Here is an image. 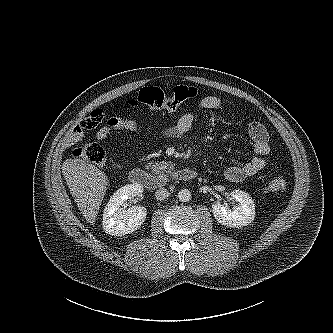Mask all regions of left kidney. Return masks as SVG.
<instances>
[{"label":"left kidney","mask_w":333,"mask_h":333,"mask_svg":"<svg viewBox=\"0 0 333 333\" xmlns=\"http://www.w3.org/2000/svg\"><path fill=\"white\" fill-rule=\"evenodd\" d=\"M231 197L237 202L230 209L221 202L212 205V213L215 219L222 225L240 228L250 224L255 218V204L250 195L242 190H233Z\"/></svg>","instance_id":"left-kidney-1"}]
</instances>
